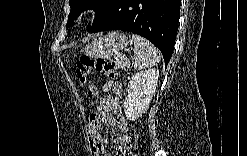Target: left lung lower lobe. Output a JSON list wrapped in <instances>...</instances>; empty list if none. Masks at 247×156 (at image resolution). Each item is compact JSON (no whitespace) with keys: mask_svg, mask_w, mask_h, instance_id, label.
Here are the masks:
<instances>
[{"mask_svg":"<svg viewBox=\"0 0 247 156\" xmlns=\"http://www.w3.org/2000/svg\"><path fill=\"white\" fill-rule=\"evenodd\" d=\"M181 0H115L90 30H125L139 34L162 52L167 65L174 49Z\"/></svg>","mask_w":247,"mask_h":156,"instance_id":"obj_1","label":"left lung lower lobe"}]
</instances>
